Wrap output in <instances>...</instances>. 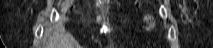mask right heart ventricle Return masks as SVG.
<instances>
[{
  "instance_id": "obj_1",
  "label": "right heart ventricle",
  "mask_w": 213,
  "mask_h": 48,
  "mask_svg": "<svg viewBox=\"0 0 213 48\" xmlns=\"http://www.w3.org/2000/svg\"><path fill=\"white\" fill-rule=\"evenodd\" d=\"M127 25H134L133 23H131L130 21H126L125 22Z\"/></svg>"
}]
</instances>
